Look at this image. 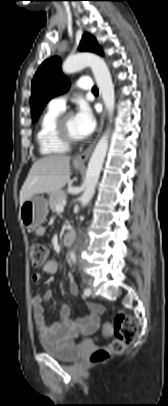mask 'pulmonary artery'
Here are the masks:
<instances>
[{"label": "pulmonary artery", "mask_w": 168, "mask_h": 406, "mask_svg": "<svg viewBox=\"0 0 168 406\" xmlns=\"http://www.w3.org/2000/svg\"><path fill=\"white\" fill-rule=\"evenodd\" d=\"M76 87L83 90H91L92 89V81L90 77H81L77 83ZM66 100L67 96H58L50 100L49 106L64 110L66 107Z\"/></svg>", "instance_id": "obj_1"}]
</instances>
